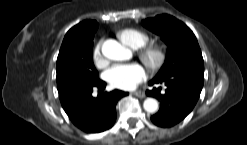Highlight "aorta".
<instances>
[{
    "label": "aorta",
    "instance_id": "obj_1",
    "mask_svg": "<svg viewBox=\"0 0 247 145\" xmlns=\"http://www.w3.org/2000/svg\"><path fill=\"white\" fill-rule=\"evenodd\" d=\"M102 53L105 57L115 61L126 60L130 57V51L113 39L106 40L102 45ZM145 111L154 113L158 110V102L154 98H147L143 103Z\"/></svg>",
    "mask_w": 247,
    "mask_h": 145
}]
</instances>
